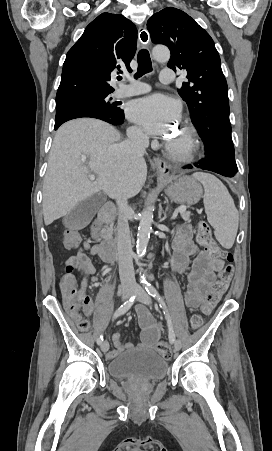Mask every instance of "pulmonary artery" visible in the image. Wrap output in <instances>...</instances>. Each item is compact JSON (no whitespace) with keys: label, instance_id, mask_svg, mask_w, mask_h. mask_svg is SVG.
I'll return each instance as SVG.
<instances>
[{"label":"pulmonary artery","instance_id":"pulmonary-artery-1","mask_svg":"<svg viewBox=\"0 0 272 451\" xmlns=\"http://www.w3.org/2000/svg\"><path fill=\"white\" fill-rule=\"evenodd\" d=\"M160 81L163 83H171L173 81L174 72L171 70L170 66H163L162 70L159 72ZM146 83L142 80H134L132 85L127 84L123 89H118L113 93L114 98H125L130 96H135L143 94L149 91V87L145 85Z\"/></svg>","mask_w":272,"mask_h":451}]
</instances>
